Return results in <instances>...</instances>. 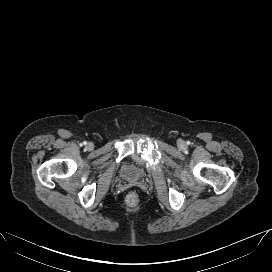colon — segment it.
Wrapping results in <instances>:
<instances>
[{
    "label": "colon",
    "instance_id": "5ec220e1",
    "mask_svg": "<svg viewBox=\"0 0 272 272\" xmlns=\"http://www.w3.org/2000/svg\"><path fill=\"white\" fill-rule=\"evenodd\" d=\"M139 203V196L136 192H130L128 193V195L126 196V204L129 207H135L137 206Z\"/></svg>",
    "mask_w": 272,
    "mask_h": 272
}]
</instances>
